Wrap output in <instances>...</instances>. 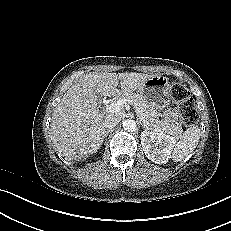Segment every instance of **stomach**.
Segmentation results:
<instances>
[{"mask_svg": "<svg viewBox=\"0 0 231 231\" xmlns=\"http://www.w3.org/2000/svg\"><path fill=\"white\" fill-rule=\"evenodd\" d=\"M139 96L155 109L166 107L170 103L171 85L169 79L154 75L138 89Z\"/></svg>", "mask_w": 231, "mask_h": 231, "instance_id": "stomach-1", "label": "stomach"}]
</instances>
